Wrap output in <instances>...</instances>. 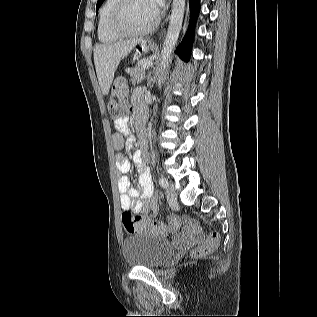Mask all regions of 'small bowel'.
Returning a JSON list of instances; mask_svg holds the SVG:
<instances>
[{
	"mask_svg": "<svg viewBox=\"0 0 317 317\" xmlns=\"http://www.w3.org/2000/svg\"><path fill=\"white\" fill-rule=\"evenodd\" d=\"M132 103L136 108V119L138 123H142L140 112L139 93H135L132 97ZM142 139V149L136 150L132 155V160L137 167L139 175L138 186H131L128 172L130 171V161L125 157L122 150H132L135 146V137L129 128V119L123 117L115 121V133L112 136L113 146L117 151L116 167L121 176L118 180V190L120 192V204L123 210H132L136 213L154 215L158 210L157 197L154 190L152 177L146 166V157L144 153L145 142ZM183 237L188 241H195L201 237L199 227L194 224L185 227Z\"/></svg>",
	"mask_w": 317,
	"mask_h": 317,
	"instance_id": "1",
	"label": "small bowel"
}]
</instances>
